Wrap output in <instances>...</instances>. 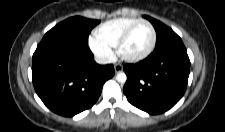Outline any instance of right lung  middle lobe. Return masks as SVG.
Listing matches in <instances>:
<instances>
[{
    "label": "right lung middle lobe",
    "instance_id": "1",
    "mask_svg": "<svg viewBox=\"0 0 225 132\" xmlns=\"http://www.w3.org/2000/svg\"><path fill=\"white\" fill-rule=\"evenodd\" d=\"M99 23V20L80 16L71 17L49 30L42 41L58 40L88 45L89 33Z\"/></svg>",
    "mask_w": 225,
    "mask_h": 132
}]
</instances>
